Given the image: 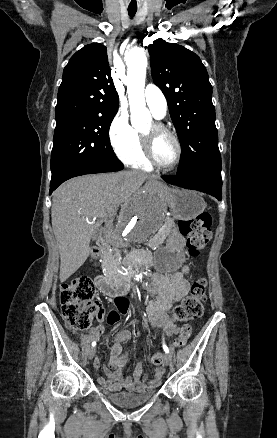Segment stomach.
Masks as SVG:
<instances>
[{"label": "stomach", "mask_w": 277, "mask_h": 438, "mask_svg": "<svg viewBox=\"0 0 277 438\" xmlns=\"http://www.w3.org/2000/svg\"><path fill=\"white\" fill-rule=\"evenodd\" d=\"M171 213L176 220H192L200 215L206 203L196 192L186 189H163ZM185 238L177 231H172L166 246L155 253V267L162 272H173L179 269L184 260Z\"/></svg>", "instance_id": "obj_1"}]
</instances>
